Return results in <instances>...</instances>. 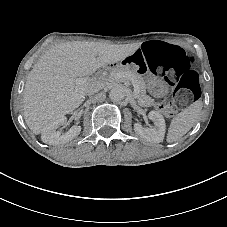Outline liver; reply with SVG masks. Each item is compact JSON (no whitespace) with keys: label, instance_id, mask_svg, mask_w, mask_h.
Wrapping results in <instances>:
<instances>
[{"label":"liver","instance_id":"liver-1","mask_svg":"<svg viewBox=\"0 0 227 227\" xmlns=\"http://www.w3.org/2000/svg\"><path fill=\"white\" fill-rule=\"evenodd\" d=\"M139 46L75 41L50 47L27 76L23 91L24 119L34 134L52 120L80 106L90 75L132 54ZM98 89L104 85L96 79Z\"/></svg>","mask_w":227,"mask_h":227}]
</instances>
